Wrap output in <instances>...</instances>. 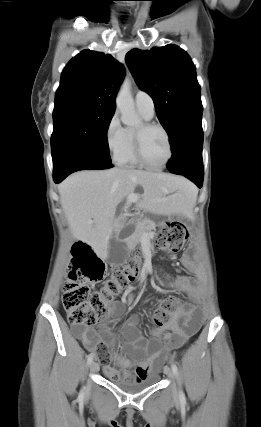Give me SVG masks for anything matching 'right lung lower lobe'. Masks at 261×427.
I'll return each instance as SVG.
<instances>
[{"label":"right lung lower lobe","mask_w":261,"mask_h":427,"mask_svg":"<svg viewBox=\"0 0 261 427\" xmlns=\"http://www.w3.org/2000/svg\"><path fill=\"white\" fill-rule=\"evenodd\" d=\"M54 181L60 183L68 175L79 170L109 169L113 165L111 162L95 161L79 157H67L53 163Z\"/></svg>","instance_id":"98d812e1"}]
</instances>
